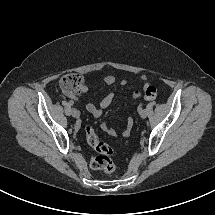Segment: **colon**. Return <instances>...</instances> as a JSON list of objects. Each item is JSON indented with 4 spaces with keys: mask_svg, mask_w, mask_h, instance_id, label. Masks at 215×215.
Returning <instances> with one entry per match:
<instances>
[{
    "mask_svg": "<svg viewBox=\"0 0 215 215\" xmlns=\"http://www.w3.org/2000/svg\"><path fill=\"white\" fill-rule=\"evenodd\" d=\"M83 77L78 73H67L60 80V88L68 95H76L83 90ZM158 90L153 85H146L144 88V98L153 100L157 97ZM87 143L98 153L92 157L90 165L96 170H100L106 174H111L115 171V164L112 160L113 149L107 144L99 140L94 132V129L89 126L86 129Z\"/></svg>",
    "mask_w": 215,
    "mask_h": 215,
    "instance_id": "obj_1",
    "label": "colon"
}]
</instances>
